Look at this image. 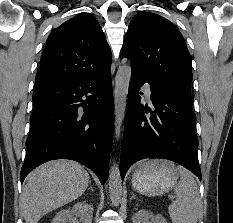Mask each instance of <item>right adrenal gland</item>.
Listing matches in <instances>:
<instances>
[{"mask_svg":"<svg viewBox=\"0 0 233 223\" xmlns=\"http://www.w3.org/2000/svg\"><path fill=\"white\" fill-rule=\"evenodd\" d=\"M89 183H90V187H88V189H92V191H94V189H93V187L91 185V179H90Z\"/></svg>","mask_w":233,"mask_h":223,"instance_id":"obj_1","label":"right adrenal gland"}]
</instances>
